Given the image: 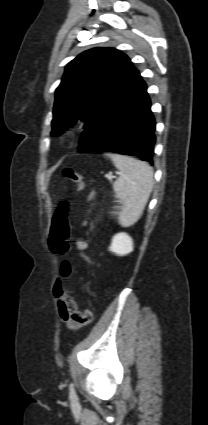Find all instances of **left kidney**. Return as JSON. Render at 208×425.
Listing matches in <instances>:
<instances>
[{"instance_id": "5707ae66", "label": "left kidney", "mask_w": 208, "mask_h": 425, "mask_svg": "<svg viewBox=\"0 0 208 425\" xmlns=\"http://www.w3.org/2000/svg\"><path fill=\"white\" fill-rule=\"evenodd\" d=\"M109 249L117 255H127L133 251L132 238L124 232L118 233L112 238Z\"/></svg>"}]
</instances>
